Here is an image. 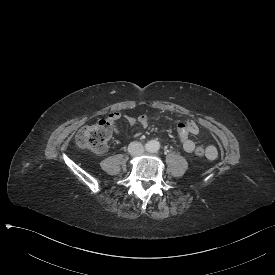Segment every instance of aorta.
I'll return each mask as SVG.
<instances>
[{"label":"aorta","instance_id":"obj_1","mask_svg":"<svg viewBox=\"0 0 275 275\" xmlns=\"http://www.w3.org/2000/svg\"><path fill=\"white\" fill-rule=\"evenodd\" d=\"M146 149L149 152H157L160 149V142L158 140H151L146 144Z\"/></svg>","mask_w":275,"mask_h":275}]
</instances>
